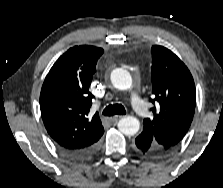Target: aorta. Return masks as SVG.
<instances>
[{
  "mask_svg": "<svg viewBox=\"0 0 223 188\" xmlns=\"http://www.w3.org/2000/svg\"><path fill=\"white\" fill-rule=\"evenodd\" d=\"M111 82L119 90H128L132 86V77L127 70L116 68L111 73ZM117 127L124 135L133 136L139 131L140 122L135 117L126 116L119 120Z\"/></svg>",
  "mask_w": 223,
  "mask_h": 188,
  "instance_id": "obj_1",
  "label": "aorta"
}]
</instances>
